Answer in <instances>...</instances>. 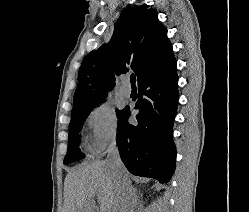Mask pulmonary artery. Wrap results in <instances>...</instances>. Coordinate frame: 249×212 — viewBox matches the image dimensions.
Segmentation results:
<instances>
[{
    "instance_id": "obj_1",
    "label": "pulmonary artery",
    "mask_w": 249,
    "mask_h": 212,
    "mask_svg": "<svg viewBox=\"0 0 249 212\" xmlns=\"http://www.w3.org/2000/svg\"><path fill=\"white\" fill-rule=\"evenodd\" d=\"M122 85L120 87V95L123 98H128L131 94V85H130V76L129 75H123L122 78Z\"/></svg>"
}]
</instances>
